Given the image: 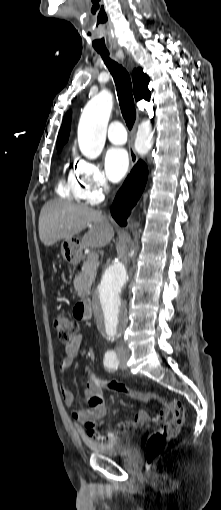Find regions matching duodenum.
<instances>
[{
	"label": "duodenum",
	"instance_id": "duodenum-1",
	"mask_svg": "<svg viewBox=\"0 0 221 510\" xmlns=\"http://www.w3.org/2000/svg\"><path fill=\"white\" fill-rule=\"evenodd\" d=\"M76 311L80 315V317L84 319H90L92 316L91 303L89 301L79 302L76 306Z\"/></svg>",
	"mask_w": 221,
	"mask_h": 510
}]
</instances>
